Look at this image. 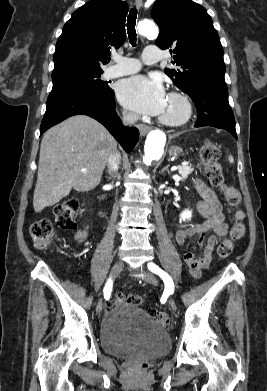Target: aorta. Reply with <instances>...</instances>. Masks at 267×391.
<instances>
[{
  "mask_svg": "<svg viewBox=\"0 0 267 391\" xmlns=\"http://www.w3.org/2000/svg\"><path fill=\"white\" fill-rule=\"evenodd\" d=\"M138 31L142 36L148 38H156L158 36V28L152 21H142L139 23ZM165 143L166 135L160 130H153L147 135L143 158L146 165L162 155Z\"/></svg>",
  "mask_w": 267,
  "mask_h": 391,
  "instance_id": "1",
  "label": "aorta"
}]
</instances>
